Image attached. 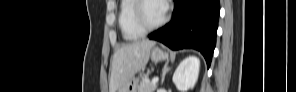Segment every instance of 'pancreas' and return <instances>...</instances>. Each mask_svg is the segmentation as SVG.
Returning <instances> with one entry per match:
<instances>
[{"label": "pancreas", "instance_id": "1", "mask_svg": "<svg viewBox=\"0 0 296 92\" xmlns=\"http://www.w3.org/2000/svg\"><path fill=\"white\" fill-rule=\"evenodd\" d=\"M157 88V84H153L148 77H144L138 87V92H154Z\"/></svg>", "mask_w": 296, "mask_h": 92}]
</instances>
